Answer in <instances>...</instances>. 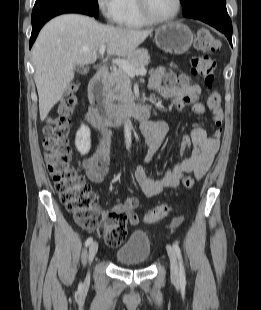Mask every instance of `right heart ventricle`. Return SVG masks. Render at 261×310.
<instances>
[{"mask_svg": "<svg viewBox=\"0 0 261 310\" xmlns=\"http://www.w3.org/2000/svg\"><path fill=\"white\" fill-rule=\"evenodd\" d=\"M117 24L124 28L139 29L148 26L150 23L141 16L136 0H123L122 11Z\"/></svg>", "mask_w": 261, "mask_h": 310, "instance_id": "obj_1", "label": "right heart ventricle"}]
</instances>
